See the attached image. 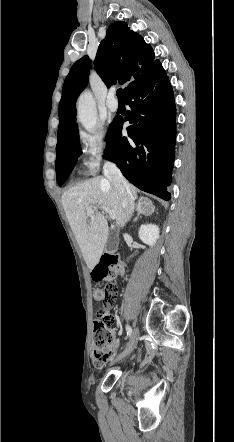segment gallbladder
Returning <instances> with one entry per match:
<instances>
[{
	"label": "gallbladder",
	"instance_id": "gallbladder-1",
	"mask_svg": "<svg viewBox=\"0 0 234 442\" xmlns=\"http://www.w3.org/2000/svg\"><path fill=\"white\" fill-rule=\"evenodd\" d=\"M106 249L109 252H113L115 249V240H114L113 234H110V237H109L107 245H106Z\"/></svg>",
	"mask_w": 234,
	"mask_h": 442
}]
</instances>
